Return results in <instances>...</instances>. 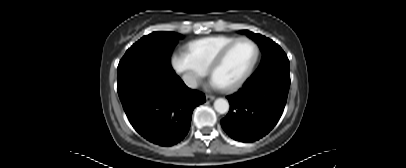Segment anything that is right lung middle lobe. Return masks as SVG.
<instances>
[{
	"label": "right lung middle lobe",
	"instance_id": "right-lung-middle-lobe-1",
	"mask_svg": "<svg viewBox=\"0 0 406 168\" xmlns=\"http://www.w3.org/2000/svg\"><path fill=\"white\" fill-rule=\"evenodd\" d=\"M180 34L153 32L133 44L118 65V90L141 81L175 74L170 56Z\"/></svg>",
	"mask_w": 406,
	"mask_h": 168
}]
</instances>
